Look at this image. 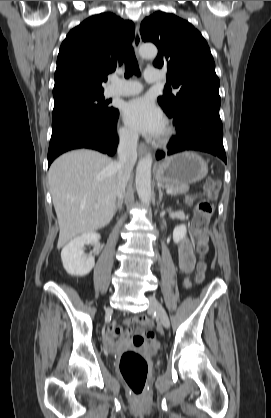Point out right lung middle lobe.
<instances>
[{"instance_id":"right-lung-middle-lobe-1","label":"right lung middle lobe","mask_w":271,"mask_h":418,"mask_svg":"<svg viewBox=\"0 0 271 418\" xmlns=\"http://www.w3.org/2000/svg\"><path fill=\"white\" fill-rule=\"evenodd\" d=\"M103 93L75 95L54 101L52 124L60 120L88 114H113L117 109L108 106Z\"/></svg>"}]
</instances>
